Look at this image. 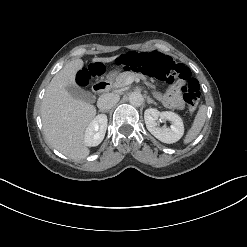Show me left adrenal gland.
<instances>
[{
	"label": "left adrenal gland",
	"instance_id": "1",
	"mask_svg": "<svg viewBox=\"0 0 247 247\" xmlns=\"http://www.w3.org/2000/svg\"><path fill=\"white\" fill-rule=\"evenodd\" d=\"M147 103L148 104L153 103V104L157 105V103L152 98H150L149 96H147Z\"/></svg>",
	"mask_w": 247,
	"mask_h": 247
}]
</instances>
